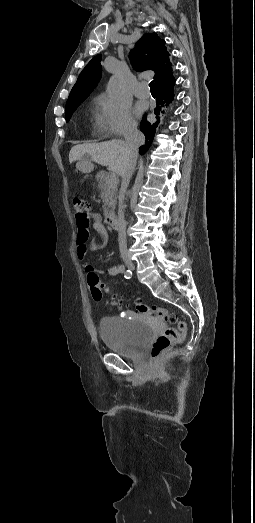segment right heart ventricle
<instances>
[{"mask_svg":"<svg viewBox=\"0 0 255 523\" xmlns=\"http://www.w3.org/2000/svg\"><path fill=\"white\" fill-rule=\"evenodd\" d=\"M92 125L98 136H104L107 133V118L103 110H97L95 112Z\"/></svg>","mask_w":255,"mask_h":523,"instance_id":"e07e8e85","label":"right heart ventricle"}]
</instances>
